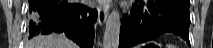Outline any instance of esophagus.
Listing matches in <instances>:
<instances>
[{
	"mask_svg": "<svg viewBox=\"0 0 213 48\" xmlns=\"http://www.w3.org/2000/svg\"><path fill=\"white\" fill-rule=\"evenodd\" d=\"M109 13V5H100L98 9V23L103 26Z\"/></svg>",
	"mask_w": 213,
	"mask_h": 48,
	"instance_id": "obj_1",
	"label": "esophagus"
}]
</instances>
